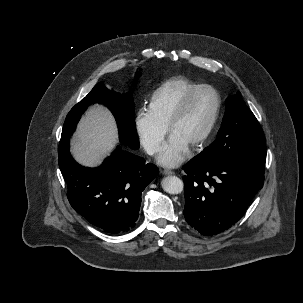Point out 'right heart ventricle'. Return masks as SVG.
Returning <instances> with one entry per match:
<instances>
[{
    "label": "right heart ventricle",
    "instance_id": "1",
    "mask_svg": "<svg viewBox=\"0 0 303 303\" xmlns=\"http://www.w3.org/2000/svg\"><path fill=\"white\" fill-rule=\"evenodd\" d=\"M197 85L199 84L183 76L164 81L151 95L149 110L160 122L168 125L183 97Z\"/></svg>",
    "mask_w": 303,
    "mask_h": 303
}]
</instances>
